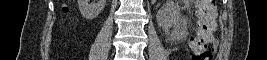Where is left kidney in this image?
Returning a JSON list of instances; mask_svg holds the SVG:
<instances>
[{
  "label": "left kidney",
  "instance_id": "obj_1",
  "mask_svg": "<svg viewBox=\"0 0 267 60\" xmlns=\"http://www.w3.org/2000/svg\"><path fill=\"white\" fill-rule=\"evenodd\" d=\"M180 9L173 2H166L163 7L157 12L156 19L158 25L162 29H169L179 19Z\"/></svg>",
  "mask_w": 267,
  "mask_h": 60
}]
</instances>
